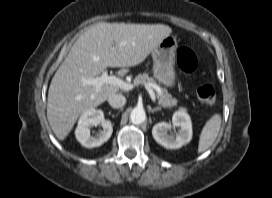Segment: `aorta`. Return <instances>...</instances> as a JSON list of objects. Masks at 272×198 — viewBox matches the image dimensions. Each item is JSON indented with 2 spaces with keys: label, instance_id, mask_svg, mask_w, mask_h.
Instances as JSON below:
<instances>
[{
  "label": "aorta",
  "instance_id": "762f6f07",
  "mask_svg": "<svg viewBox=\"0 0 272 198\" xmlns=\"http://www.w3.org/2000/svg\"><path fill=\"white\" fill-rule=\"evenodd\" d=\"M145 119L146 114L142 108H134L130 113V121L135 125L143 123Z\"/></svg>",
  "mask_w": 272,
  "mask_h": 198
}]
</instances>
